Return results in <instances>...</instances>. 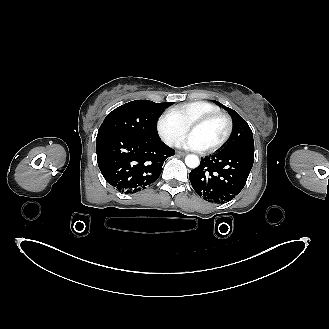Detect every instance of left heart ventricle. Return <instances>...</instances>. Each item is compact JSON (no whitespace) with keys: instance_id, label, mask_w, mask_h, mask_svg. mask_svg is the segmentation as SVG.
Masks as SVG:
<instances>
[{"instance_id":"obj_1","label":"left heart ventricle","mask_w":329,"mask_h":329,"mask_svg":"<svg viewBox=\"0 0 329 329\" xmlns=\"http://www.w3.org/2000/svg\"><path fill=\"white\" fill-rule=\"evenodd\" d=\"M225 132L226 122L219 118L193 128L190 134L194 135L199 140L203 149H207L219 142Z\"/></svg>"}]
</instances>
